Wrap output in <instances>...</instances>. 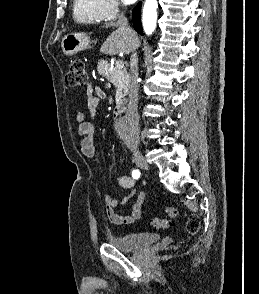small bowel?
<instances>
[{"instance_id":"obj_1","label":"small bowel","mask_w":259,"mask_h":294,"mask_svg":"<svg viewBox=\"0 0 259 294\" xmlns=\"http://www.w3.org/2000/svg\"><path fill=\"white\" fill-rule=\"evenodd\" d=\"M106 97L105 92L99 87L89 85L87 87V109L90 115L95 116L98 112L99 104ZM75 123L77 133L82 137L81 152L88 158H93L96 153L94 133L95 127L92 123L85 120V114L82 110L75 112ZM118 184L124 189H131L135 185V180L130 176H120L117 178ZM135 196L131 211L128 214H120L116 211L119 205H123ZM145 200L143 191H131L121 200L112 198L110 195L104 197L105 213L109 221L115 225H128L140 219L142 206Z\"/></svg>"}]
</instances>
